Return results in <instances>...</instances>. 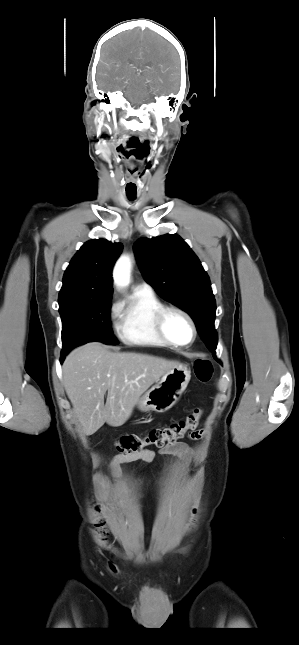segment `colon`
Returning a JSON list of instances; mask_svg holds the SVG:
<instances>
[{
  "label": "colon",
  "mask_w": 299,
  "mask_h": 645,
  "mask_svg": "<svg viewBox=\"0 0 299 645\" xmlns=\"http://www.w3.org/2000/svg\"><path fill=\"white\" fill-rule=\"evenodd\" d=\"M194 374L197 380L202 383H207L211 380L213 367L208 358L201 357L195 361ZM201 417L202 410L195 408L184 418L171 422L167 426L151 429L145 436L131 434L121 437L116 443V448L122 457L138 454L148 446L163 448L194 431ZM96 524L99 536L103 539L106 538L105 517L99 514Z\"/></svg>",
  "instance_id": "1"
}]
</instances>
